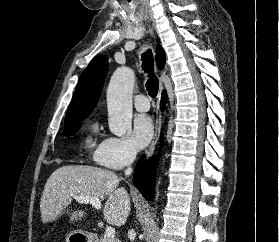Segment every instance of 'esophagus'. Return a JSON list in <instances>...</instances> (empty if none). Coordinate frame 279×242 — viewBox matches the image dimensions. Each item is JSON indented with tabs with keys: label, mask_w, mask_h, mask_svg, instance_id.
I'll list each match as a JSON object with an SVG mask.
<instances>
[{
	"label": "esophagus",
	"mask_w": 279,
	"mask_h": 242,
	"mask_svg": "<svg viewBox=\"0 0 279 242\" xmlns=\"http://www.w3.org/2000/svg\"><path fill=\"white\" fill-rule=\"evenodd\" d=\"M151 33L153 32L152 29H150ZM163 90V84H160V93H159V99H158V107H157V115H156V122H155V133L153 136V139L151 141V144L146 152L147 158L151 157L153 154L155 145L158 141L160 131H161V126H162V114L160 110V98H161V92Z\"/></svg>",
	"instance_id": "obj_1"
}]
</instances>
